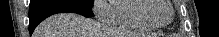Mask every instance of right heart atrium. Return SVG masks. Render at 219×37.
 <instances>
[{
  "mask_svg": "<svg viewBox=\"0 0 219 37\" xmlns=\"http://www.w3.org/2000/svg\"><path fill=\"white\" fill-rule=\"evenodd\" d=\"M116 5L117 0H95L93 3V12L100 21L113 23L116 18Z\"/></svg>",
  "mask_w": 219,
  "mask_h": 37,
  "instance_id": "1",
  "label": "right heart atrium"
}]
</instances>
